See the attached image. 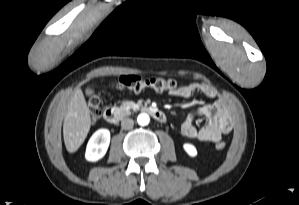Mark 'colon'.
<instances>
[{
	"label": "colon",
	"instance_id": "obj_1",
	"mask_svg": "<svg viewBox=\"0 0 299 205\" xmlns=\"http://www.w3.org/2000/svg\"><path fill=\"white\" fill-rule=\"evenodd\" d=\"M117 87L123 91L138 93L148 88L162 92L166 90H176L180 86L176 80L170 78H163L159 76L141 78L136 75H125L120 77ZM100 103L101 98L97 94L93 95L88 100V108L93 120H96L100 114ZM225 146L226 144L223 141H220L215 145L218 150L224 149Z\"/></svg>",
	"mask_w": 299,
	"mask_h": 205
}]
</instances>
